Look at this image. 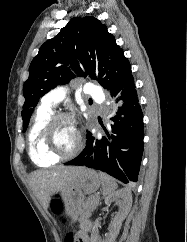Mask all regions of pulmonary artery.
<instances>
[{"instance_id": "e3ab8cb5", "label": "pulmonary artery", "mask_w": 187, "mask_h": 242, "mask_svg": "<svg viewBox=\"0 0 187 242\" xmlns=\"http://www.w3.org/2000/svg\"><path fill=\"white\" fill-rule=\"evenodd\" d=\"M101 93V90L98 86L94 84L88 85V94L92 98H98ZM65 97V90L62 87L56 88L49 93H47L42 102L44 105L54 107L57 103H59Z\"/></svg>"}]
</instances>
